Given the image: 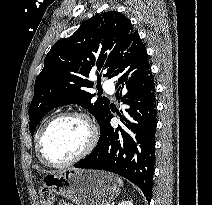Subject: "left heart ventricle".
<instances>
[{
  "mask_svg": "<svg viewBox=\"0 0 212 205\" xmlns=\"http://www.w3.org/2000/svg\"><path fill=\"white\" fill-rule=\"evenodd\" d=\"M88 138V128L81 119L64 118L48 128L43 138V149L50 160L64 162L79 154Z\"/></svg>",
  "mask_w": 212,
  "mask_h": 205,
  "instance_id": "b2bd125f",
  "label": "left heart ventricle"
}]
</instances>
